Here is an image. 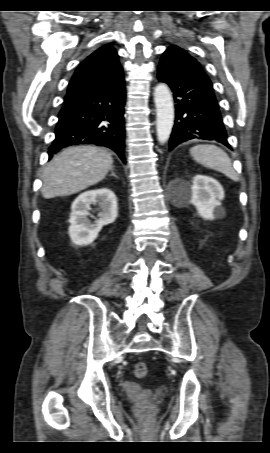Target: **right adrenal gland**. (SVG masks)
Here are the masks:
<instances>
[{
	"label": "right adrenal gland",
	"mask_w": 270,
	"mask_h": 453,
	"mask_svg": "<svg viewBox=\"0 0 270 453\" xmlns=\"http://www.w3.org/2000/svg\"><path fill=\"white\" fill-rule=\"evenodd\" d=\"M110 176H113V177L118 179V176L114 173V169L113 168H111V175Z\"/></svg>",
	"instance_id": "obj_1"
}]
</instances>
